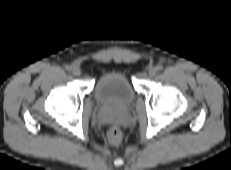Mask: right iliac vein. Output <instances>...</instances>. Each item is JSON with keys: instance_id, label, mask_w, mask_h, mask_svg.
Segmentation results:
<instances>
[{"instance_id": "1", "label": "right iliac vein", "mask_w": 231, "mask_h": 170, "mask_svg": "<svg viewBox=\"0 0 231 170\" xmlns=\"http://www.w3.org/2000/svg\"><path fill=\"white\" fill-rule=\"evenodd\" d=\"M72 73H73V75H75V76H79V75L81 74V71H80V69H79L78 67H74V68L72 69Z\"/></svg>"}]
</instances>
